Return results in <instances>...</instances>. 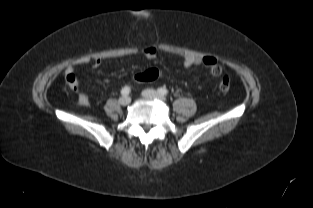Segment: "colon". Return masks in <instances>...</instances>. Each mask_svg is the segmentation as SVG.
I'll return each mask as SVG.
<instances>
[{"label":"colon","mask_w":313,"mask_h":208,"mask_svg":"<svg viewBox=\"0 0 313 208\" xmlns=\"http://www.w3.org/2000/svg\"><path fill=\"white\" fill-rule=\"evenodd\" d=\"M210 72L213 75L218 76L221 74L222 68L219 64H215L210 67ZM159 77H160L159 70L155 68H151L141 73H138L135 78L138 82L148 83V82H153L157 80ZM67 82L70 88H74L77 85V80H76V77L74 76H69L67 78ZM218 87H219V90L222 92L228 91L230 88V78L226 75L223 76L219 81Z\"/></svg>","instance_id":"5ec220e1"}]
</instances>
